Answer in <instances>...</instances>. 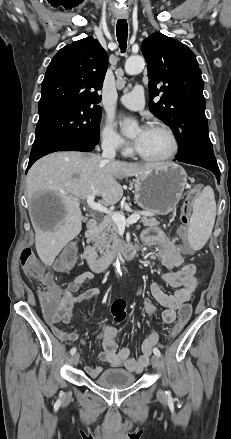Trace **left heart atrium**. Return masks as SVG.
Listing matches in <instances>:
<instances>
[{"mask_svg": "<svg viewBox=\"0 0 231 439\" xmlns=\"http://www.w3.org/2000/svg\"><path fill=\"white\" fill-rule=\"evenodd\" d=\"M146 131H147V129H142V130L139 132L138 136L134 139V145H135L136 147H137L138 144L140 143L141 138L144 136V134L146 133Z\"/></svg>", "mask_w": 231, "mask_h": 439, "instance_id": "39dd6f15", "label": "left heart atrium"}]
</instances>
